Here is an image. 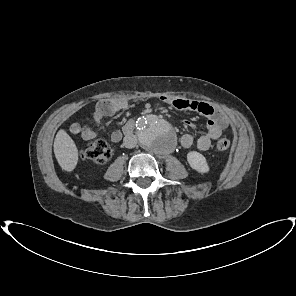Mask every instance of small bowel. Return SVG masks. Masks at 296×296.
<instances>
[{
    "instance_id": "small-bowel-1",
    "label": "small bowel",
    "mask_w": 296,
    "mask_h": 296,
    "mask_svg": "<svg viewBox=\"0 0 296 296\" xmlns=\"http://www.w3.org/2000/svg\"><path fill=\"white\" fill-rule=\"evenodd\" d=\"M161 99L175 109L196 111L207 118L206 132L196 140L190 133H184L180 137V144L184 148H189L195 144L200 151H206L210 148L212 141L218 139L229 126V119L226 114L209 103L169 96L162 97ZM129 105L130 102L125 99H106L98 102L93 112L95 124H99L106 116H111L118 111L127 109ZM185 127L191 128V122L186 121ZM69 130L71 134L80 136L84 140H92L97 137L95 129L89 126H82L79 123L71 124ZM124 134L123 129L114 130L110 134V139L112 142H119Z\"/></svg>"
}]
</instances>
